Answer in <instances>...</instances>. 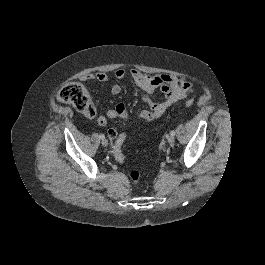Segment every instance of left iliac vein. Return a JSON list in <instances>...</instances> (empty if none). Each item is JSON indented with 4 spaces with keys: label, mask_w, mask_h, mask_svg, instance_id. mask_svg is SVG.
I'll return each instance as SVG.
<instances>
[{
    "label": "left iliac vein",
    "mask_w": 265,
    "mask_h": 265,
    "mask_svg": "<svg viewBox=\"0 0 265 265\" xmlns=\"http://www.w3.org/2000/svg\"><path fill=\"white\" fill-rule=\"evenodd\" d=\"M167 141H168L170 144H172V143H174V141H175V137H174L173 135H169V136L167 137Z\"/></svg>",
    "instance_id": "1"
}]
</instances>
